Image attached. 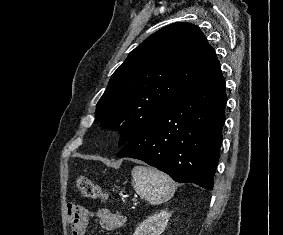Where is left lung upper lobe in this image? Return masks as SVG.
Returning <instances> with one entry per match:
<instances>
[{
	"label": "left lung upper lobe",
	"mask_w": 283,
	"mask_h": 235,
	"mask_svg": "<svg viewBox=\"0 0 283 235\" xmlns=\"http://www.w3.org/2000/svg\"><path fill=\"white\" fill-rule=\"evenodd\" d=\"M219 70L199 27L173 23L130 52L98 101L96 118L103 127L119 130V145H125Z\"/></svg>",
	"instance_id": "1"
}]
</instances>
